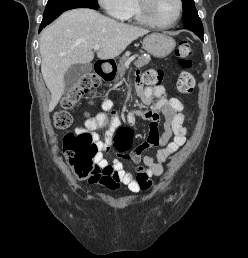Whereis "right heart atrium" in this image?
<instances>
[{"mask_svg": "<svg viewBox=\"0 0 248 258\" xmlns=\"http://www.w3.org/2000/svg\"><path fill=\"white\" fill-rule=\"evenodd\" d=\"M106 13L116 19H123L129 8V0H97Z\"/></svg>", "mask_w": 248, "mask_h": 258, "instance_id": "right-heart-atrium-1", "label": "right heart atrium"}]
</instances>
